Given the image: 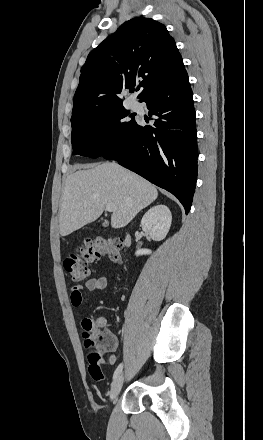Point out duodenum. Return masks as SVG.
Masks as SVG:
<instances>
[{
	"mask_svg": "<svg viewBox=\"0 0 263 440\" xmlns=\"http://www.w3.org/2000/svg\"><path fill=\"white\" fill-rule=\"evenodd\" d=\"M124 243H125L126 246H129V245H130V243H131V238H130L129 234H126V235H125V237H124Z\"/></svg>",
	"mask_w": 263,
	"mask_h": 440,
	"instance_id": "duodenum-1",
	"label": "duodenum"
}]
</instances>
